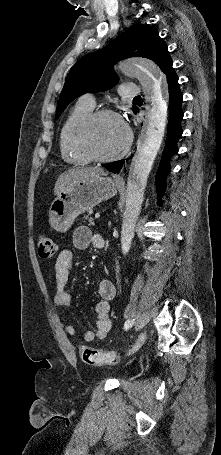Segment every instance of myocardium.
<instances>
[{
    "mask_svg": "<svg viewBox=\"0 0 221 455\" xmlns=\"http://www.w3.org/2000/svg\"><path fill=\"white\" fill-rule=\"evenodd\" d=\"M104 117H113L118 119L124 126L126 131V141L123 147L117 152L102 156L97 154L91 146V134L95 124ZM79 145L82 151L89 157L91 161L95 162H111L123 157L130 149L133 141L132 131L122 117L115 111L110 109H100L92 112L89 116L85 118L79 128L78 132Z\"/></svg>",
    "mask_w": 221,
    "mask_h": 455,
    "instance_id": "obj_1",
    "label": "myocardium"
}]
</instances>
